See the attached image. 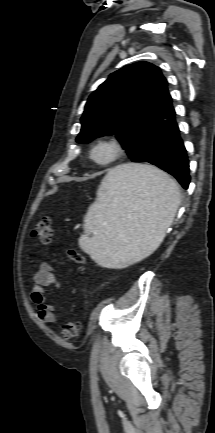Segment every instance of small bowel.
<instances>
[{"instance_id":"small-bowel-1","label":"small bowel","mask_w":215,"mask_h":433,"mask_svg":"<svg viewBox=\"0 0 215 433\" xmlns=\"http://www.w3.org/2000/svg\"><path fill=\"white\" fill-rule=\"evenodd\" d=\"M34 285L30 298L37 308L38 317L45 323L54 324L58 321L55 309L48 301V295L59 288L55 270L48 262H41L33 276Z\"/></svg>"}]
</instances>
